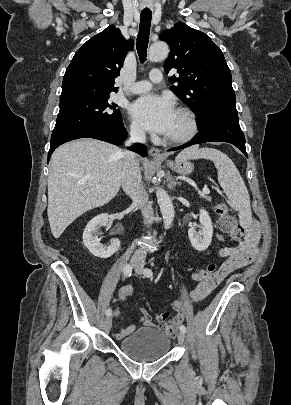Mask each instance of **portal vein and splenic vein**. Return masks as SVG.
<instances>
[{
    "instance_id": "18ae733b",
    "label": "portal vein and splenic vein",
    "mask_w": 291,
    "mask_h": 405,
    "mask_svg": "<svg viewBox=\"0 0 291 405\" xmlns=\"http://www.w3.org/2000/svg\"><path fill=\"white\" fill-rule=\"evenodd\" d=\"M100 185H98V187H99ZM203 195L204 194H209L210 193V190L207 188V187H204L203 189H202V192H201Z\"/></svg>"
}]
</instances>
